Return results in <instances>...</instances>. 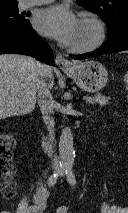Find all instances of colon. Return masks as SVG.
<instances>
[{
  "label": "colon",
  "mask_w": 128,
  "mask_h": 213,
  "mask_svg": "<svg viewBox=\"0 0 128 213\" xmlns=\"http://www.w3.org/2000/svg\"><path fill=\"white\" fill-rule=\"evenodd\" d=\"M124 78L128 91V71ZM15 142L16 140L13 133L0 135V189L3 190L6 197H13L15 194V186L12 181L14 176L12 149L15 146ZM56 213H69V209L66 206H62L57 209Z\"/></svg>",
  "instance_id": "obj_1"
}]
</instances>
